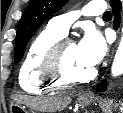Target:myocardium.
<instances>
[{
	"instance_id": "obj_1",
	"label": "myocardium",
	"mask_w": 123,
	"mask_h": 113,
	"mask_svg": "<svg viewBox=\"0 0 123 113\" xmlns=\"http://www.w3.org/2000/svg\"><path fill=\"white\" fill-rule=\"evenodd\" d=\"M69 44H74V41L67 37L59 39L50 48L42 62V71L45 77L61 86L83 84L92 80L96 75L94 69H91L88 74L82 77H73L67 72L64 65V53Z\"/></svg>"
}]
</instances>
